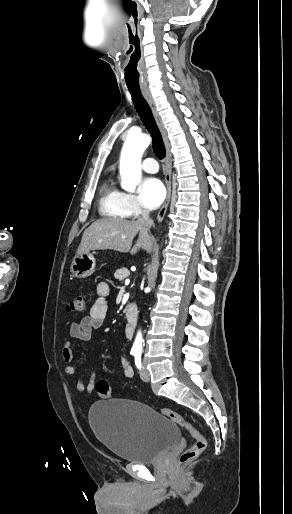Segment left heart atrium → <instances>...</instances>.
Returning <instances> with one entry per match:
<instances>
[{
    "label": "left heart atrium",
    "mask_w": 292,
    "mask_h": 514,
    "mask_svg": "<svg viewBox=\"0 0 292 514\" xmlns=\"http://www.w3.org/2000/svg\"><path fill=\"white\" fill-rule=\"evenodd\" d=\"M139 197L146 208L154 209L163 201L165 187L159 179L155 177L147 178L140 185Z\"/></svg>",
    "instance_id": "1"
}]
</instances>
